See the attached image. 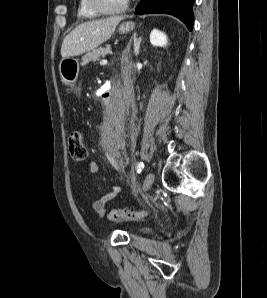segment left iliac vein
I'll return each instance as SVG.
<instances>
[{
	"instance_id": "1",
	"label": "left iliac vein",
	"mask_w": 267,
	"mask_h": 298,
	"mask_svg": "<svg viewBox=\"0 0 267 298\" xmlns=\"http://www.w3.org/2000/svg\"><path fill=\"white\" fill-rule=\"evenodd\" d=\"M154 174L153 173H148L144 179V182H143V186H142V192H145L147 191L153 184L154 182Z\"/></svg>"
}]
</instances>
